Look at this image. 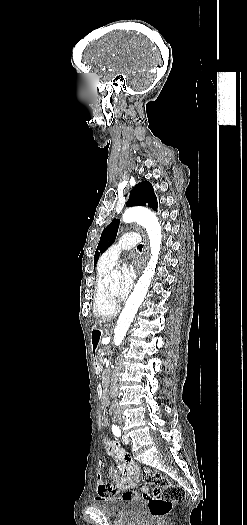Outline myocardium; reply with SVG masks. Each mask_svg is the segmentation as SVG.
Listing matches in <instances>:
<instances>
[{
    "label": "myocardium",
    "instance_id": "f54148a6",
    "mask_svg": "<svg viewBox=\"0 0 247 525\" xmlns=\"http://www.w3.org/2000/svg\"><path fill=\"white\" fill-rule=\"evenodd\" d=\"M117 263H118V261L113 266H115ZM105 290H106V292L109 290L108 280L107 279L105 280Z\"/></svg>",
    "mask_w": 247,
    "mask_h": 525
}]
</instances>
